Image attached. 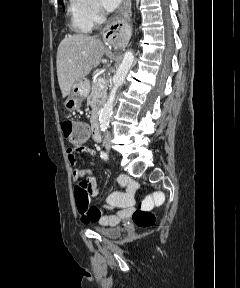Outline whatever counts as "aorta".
<instances>
[{
    "instance_id": "obj_1",
    "label": "aorta",
    "mask_w": 240,
    "mask_h": 288,
    "mask_svg": "<svg viewBox=\"0 0 240 288\" xmlns=\"http://www.w3.org/2000/svg\"><path fill=\"white\" fill-rule=\"evenodd\" d=\"M134 62V54L132 51H126L120 66L113 76V88L110 91L109 97L101 109L99 116V127L101 131H106L109 126L110 119L113 113L114 101L118 88L124 83L125 78Z\"/></svg>"
}]
</instances>
